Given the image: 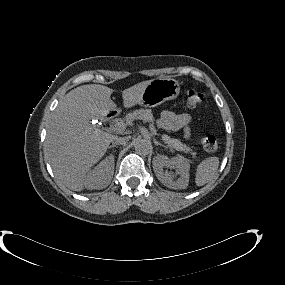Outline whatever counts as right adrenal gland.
<instances>
[{"instance_id":"obj_1","label":"right adrenal gland","mask_w":285,"mask_h":285,"mask_svg":"<svg viewBox=\"0 0 285 285\" xmlns=\"http://www.w3.org/2000/svg\"><path fill=\"white\" fill-rule=\"evenodd\" d=\"M113 147H115V145H111L109 148H113Z\"/></svg>"}]
</instances>
